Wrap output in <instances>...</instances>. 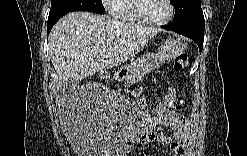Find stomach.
<instances>
[{"label": "stomach", "instance_id": "1", "mask_svg": "<svg viewBox=\"0 0 247 156\" xmlns=\"http://www.w3.org/2000/svg\"><path fill=\"white\" fill-rule=\"evenodd\" d=\"M186 49L185 43L179 38H169L163 42L155 53H147L134 63L142 64L145 69L152 71L164 63L176 58ZM132 65V64H131ZM127 75V67L125 68Z\"/></svg>", "mask_w": 247, "mask_h": 156}]
</instances>
